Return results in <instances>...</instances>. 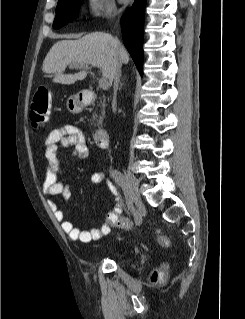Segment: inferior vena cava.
Wrapping results in <instances>:
<instances>
[{
    "label": "inferior vena cava",
    "mask_w": 245,
    "mask_h": 319,
    "mask_svg": "<svg viewBox=\"0 0 245 319\" xmlns=\"http://www.w3.org/2000/svg\"><path fill=\"white\" fill-rule=\"evenodd\" d=\"M115 44H116V47L117 48H120V42L115 39ZM121 66H122V63L120 61L117 62V65L115 67V70H114V75H113V81H114V97H113V112L115 113L116 112V95H117V90H118V84H119V81H120V76H121Z\"/></svg>",
    "instance_id": "inferior-vena-cava-1"
}]
</instances>
